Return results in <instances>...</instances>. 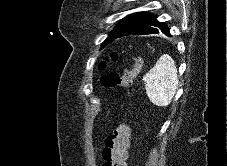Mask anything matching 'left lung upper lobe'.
<instances>
[{"instance_id":"left-lung-upper-lobe-1","label":"left lung upper lobe","mask_w":227,"mask_h":166,"mask_svg":"<svg viewBox=\"0 0 227 166\" xmlns=\"http://www.w3.org/2000/svg\"><path fill=\"white\" fill-rule=\"evenodd\" d=\"M138 14L139 13H133L120 20V23L115 26V28L110 32L107 39L102 43V47L112 42L117 34L130 28Z\"/></svg>"}]
</instances>
